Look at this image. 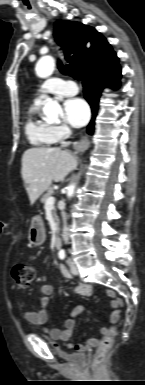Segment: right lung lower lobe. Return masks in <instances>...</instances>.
Masks as SVG:
<instances>
[{
    "mask_svg": "<svg viewBox=\"0 0 145 385\" xmlns=\"http://www.w3.org/2000/svg\"><path fill=\"white\" fill-rule=\"evenodd\" d=\"M120 77L121 68L118 62L108 68L93 71L82 76L84 96L92 109V119L87 127V132L89 134H92L94 130V121L97 115L98 102L101 91L105 87L117 89L120 85Z\"/></svg>",
    "mask_w": 145,
    "mask_h": 385,
    "instance_id": "obj_1",
    "label": "right lung lower lobe"
}]
</instances>
